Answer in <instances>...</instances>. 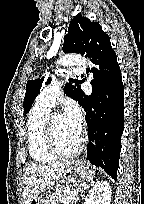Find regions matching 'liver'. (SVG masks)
<instances>
[{
  "label": "liver",
  "mask_w": 144,
  "mask_h": 204,
  "mask_svg": "<svg viewBox=\"0 0 144 204\" xmlns=\"http://www.w3.org/2000/svg\"><path fill=\"white\" fill-rule=\"evenodd\" d=\"M71 164L72 162L67 161L52 165H27L22 182L24 204H30L40 188L57 182Z\"/></svg>",
  "instance_id": "obj_1"
}]
</instances>
